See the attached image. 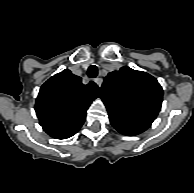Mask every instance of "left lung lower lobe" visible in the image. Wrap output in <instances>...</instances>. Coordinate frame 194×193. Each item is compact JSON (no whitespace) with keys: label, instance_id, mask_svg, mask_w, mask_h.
Here are the masks:
<instances>
[{"label":"left lung lower lobe","instance_id":"left-lung-lower-lobe-1","mask_svg":"<svg viewBox=\"0 0 194 193\" xmlns=\"http://www.w3.org/2000/svg\"><path fill=\"white\" fill-rule=\"evenodd\" d=\"M110 118V123L112 126L119 131L121 134L127 135V136H133V135H138L142 132H144L147 128L144 126L131 123L129 121L119 119L114 116H109Z\"/></svg>","mask_w":194,"mask_h":193}]
</instances>
